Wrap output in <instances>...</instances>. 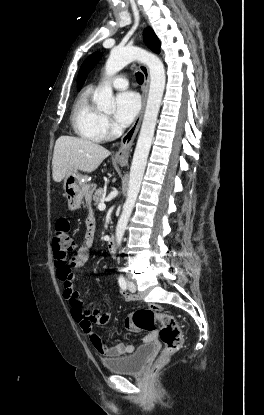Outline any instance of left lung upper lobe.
Returning a JSON list of instances; mask_svg holds the SVG:
<instances>
[{"label": "left lung upper lobe", "mask_w": 264, "mask_h": 415, "mask_svg": "<svg viewBox=\"0 0 264 415\" xmlns=\"http://www.w3.org/2000/svg\"><path fill=\"white\" fill-rule=\"evenodd\" d=\"M144 41L147 44V46L152 49L154 52L159 53L160 52V41L156 37L155 33L150 27H147L144 31ZM101 53H94L91 56H89L84 63L82 64L80 68V72L78 75V90L82 87L84 84V81L89 74V72L94 68L96 63L101 58Z\"/></svg>", "instance_id": "obj_1"}]
</instances>
